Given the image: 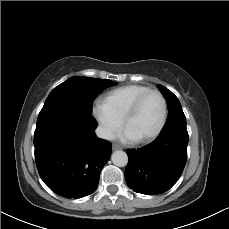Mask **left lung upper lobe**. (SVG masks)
Wrapping results in <instances>:
<instances>
[{"label": "left lung upper lobe", "mask_w": 229, "mask_h": 229, "mask_svg": "<svg viewBox=\"0 0 229 229\" xmlns=\"http://www.w3.org/2000/svg\"><path fill=\"white\" fill-rule=\"evenodd\" d=\"M158 88L164 95L168 105V118L164 126L163 132L172 129L178 125H186V117L183 113L181 104L178 98L167 88L158 84Z\"/></svg>", "instance_id": "left-lung-upper-lobe-1"}]
</instances>
